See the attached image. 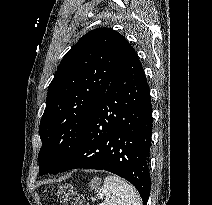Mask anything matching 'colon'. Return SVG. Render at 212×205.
Here are the masks:
<instances>
[{"mask_svg": "<svg viewBox=\"0 0 212 205\" xmlns=\"http://www.w3.org/2000/svg\"><path fill=\"white\" fill-rule=\"evenodd\" d=\"M56 197L62 205H83L80 195L68 184L62 185L58 188Z\"/></svg>", "mask_w": 212, "mask_h": 205, "instance_id": "obj_1", "label": "colon"}]
</instances>
